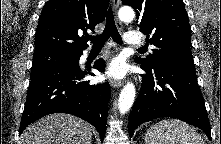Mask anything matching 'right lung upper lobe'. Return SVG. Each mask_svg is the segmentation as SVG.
<instances>
[{
    "label": "right lung upper lobe",
    "instance_id": "cb5924a9",
    "mask_svg": "<svg viewBox=\"0 0 221 144\" xmlns=\"http://www.w3.org/2000/svg\"><path fill=\"white\" fill-rule=\"evenodd\" d=\"M109 0H49L35 35V53H82L88 47L86 30L94 32L105 18ZM82 36H80L81 34Z\"/></svg>",
    "mask_w": 221,
    "mask_h": 144
}]
</instances>
